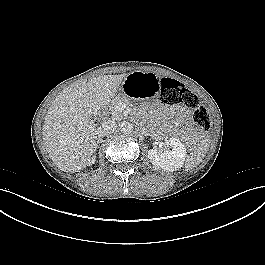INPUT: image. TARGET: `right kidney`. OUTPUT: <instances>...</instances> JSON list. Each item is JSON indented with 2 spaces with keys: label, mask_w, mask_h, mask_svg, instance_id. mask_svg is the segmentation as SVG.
Masks as SVG:
<instances>
[{
  "label": "right kidney",
  "mask_w": 265,
  "mask_h": 265,
  "mask_svg": "<svg viewBox=\"0 0 265 265\" xmlns=\"http://www.w3.org/2000/svg\"><path fill=\"white\" fill-rule=\"evenodd\" d=\"M94 162H95V158H90L88 165L90 166V165L94 164Z\"/></svg>",
  "instance_id": "right-kidney-1"
}]
</instances>
